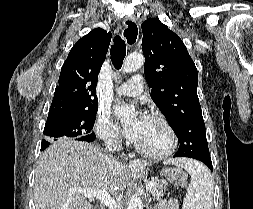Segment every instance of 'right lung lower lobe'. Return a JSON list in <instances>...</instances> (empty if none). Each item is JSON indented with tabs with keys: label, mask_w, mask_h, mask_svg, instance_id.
Returning a JSON list of instances; mask_svg holds the SVG:
<instances>
[{
	"label": "right lung lower lobe",
	"mask_w": 253,
	"mask_h": 209,
	"mask_svg": "<svg viewBox=\"0 0 253 209\" xmlns=\"http://www.w3.org/2000/svg\"><path fill=\"white\" fill-rule=\"evenodd\" d=\"M81 141L93 142L95 140V135H91L89 138L80 139Z\"/></svg>",
	"instance_id": "98d812e1"
}]
</instances>
